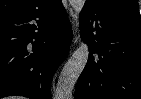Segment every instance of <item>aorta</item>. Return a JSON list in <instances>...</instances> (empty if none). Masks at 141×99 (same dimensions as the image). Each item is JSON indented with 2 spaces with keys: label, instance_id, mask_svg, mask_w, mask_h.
Masks as SVG:
<instances>
[{
  "label": "aorta",
  "instance_id": "obj_1",
  "mask_svg": "<svg viewBox=\"0 0 141 99\" xmlns=\"http://www.w3.org/2000/svg\"><path fill=\"white\" fill-rule=\"evenodd\" d=\"M85 4V0H70V5L79 15ZM89 58V47L81 42L70 59L63 67L55 91V99H71L74 86L82 73Z\"/></svg>",
  "mask_w": 141,
  "mask_h": 99
}]
</instances>
